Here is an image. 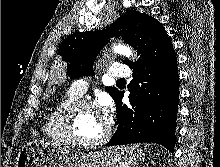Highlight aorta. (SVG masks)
Listing matches in <instances>:
<instances>
[{
    "label": "aorta",
    "mask_w": 220,
    "mask_h": 167,
    "mask_svg": "<svg viewBox=\"0 0 220 167\" xmlns=\"http://www.w3.org/2000/svg\"><path fill=\"white\" fill-rule=\"evenodd\" d=\"M113 51L120 55H124L127 58L133 55L132 50L128 46L123 45V44L114 45Z\"/></svg>",
    "instance_id": "obj_1"
}]
</instances>
